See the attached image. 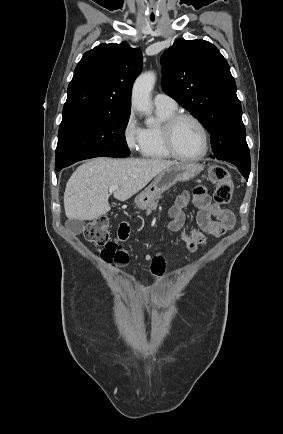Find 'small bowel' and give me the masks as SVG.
Listing matches in <instances>:
<instances>
[{
	"mask_svg": "<svg viewBox=\"0 0 283 434\" xmlns=\"http://www.w3.org/2000/svg\"><path fill=\"white\" fill-rule=\"evenodd\" d=\"M193 201L199 213L196 218V226L187 228L184 208L191 201V195L185 191L181 193L174 205L170 209L172 221L170 227L174 231L181 232V238L187 249L195 253L201 246L207 243L206 235L221 237L227 231L232 229L235 223L234 215L231 211L220 208L210 203L207 189L204 186H198L194 189L192 195ZM129 225L125 222L120 224L117 237L110 242L101 252L102 260L112 266L119 268L126 265L128 253L122 247L121 243L129 237ZM165 269V262L161 255H155L152 258V274L159 278Z\"/></svg>",
	"mask_w": 283,
	"mask_h": 434,
	"instance_id": "small-bowel-1",
	"label": "small bowel"
}]
</instances>
